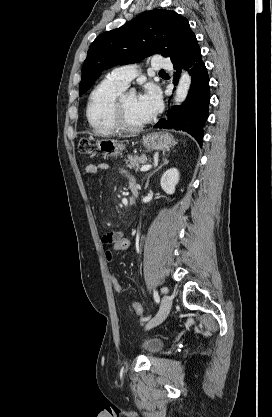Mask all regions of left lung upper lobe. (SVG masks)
I'll return each instance as SVG.
<instances>
[{
	"label": "left lung upper lobe",
	"instance_id": "5c2ea615",
	"mask_svg": "<svg viewBox=\"0 0 272 417\" xmlns=\"http://www.w3.org/2000/svg\"><path fill=\"white\" fill-rule=\"evenodd\" d=\"M197 47V39L184 17L168 10L145 11L94 40L82 67L80 95L93 85L103 70L114 65L138 62L156 53L170 57L174 64Z\"/></svg>",
	"mask_w": 272,
	"mask_h": 417
}]
</instances>
